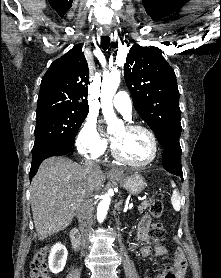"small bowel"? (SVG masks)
<instances>
[{"label": "small bowel", "instance_id": "obj_1", "mask_svg": "<svg viewBox=\"0 0 221 278\" xmlns=\"http://www.w3.org/2000/svg\"><path fill=\"white\" fill-rule=\"evenodd\" d=\"M151 225V218L149 215H144L137 229V239L139 242L143 243L140 248V254L144 257L150 256L154 250L157 256L163 257L167 254V249L161 244H157L154 249L148 244L149 242V228ZM175 278H184L186 272V260L185 255L181 250L175 251ZM154 278H166V273H159Z\"/></svg>", "mask_w": 221, "mask_h": 278}]
</instances>
